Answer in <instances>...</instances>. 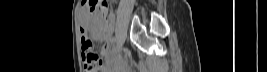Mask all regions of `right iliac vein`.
Here are the masks:
<instances>
[{
	"label": "right iliac vein",
	"mask_w": 267,
	"mask_h": 72,
	"mask_svg": "<svg viewBox=\"0 0 267 72\" xmlns=\"http://www.w3.org/2000/svg\"><path fill=\"white\" fill-rule=\"evenodd\" d=\"M120 49H121V46L118 45V46L116 47V49L114 50V52H115V53H118V52L120 51Z\"/></svg>",
	"instance_id": "right-iliac-vein-1"
}]
</instances>
